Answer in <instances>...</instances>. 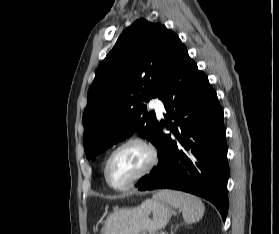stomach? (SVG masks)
<instances>
[{
    "label": "stomach",
    "instance_id": "0dacf381",
    "mask_svg": "<svg viewBox=\"0 0 279 234\" xmlns=\"http://www.w3.org/2000/svg\"><path fill=\"white\" fill-rule=\"evenodd\" d=\"M173 214V209L164 201L147 199L132 208L114 210L107 217L102 234H143L163 229Z\"/></svg>",
    "mask_w": 279,
    "mask_h": 234
}]
</instances>
